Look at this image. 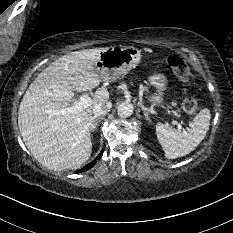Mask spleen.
<instances>
[{
    "label": "spleen",
    "instance_id": "spleen-1",
    "mask_svg": "<svg viewBox=\"0 0 233 233\" xmlns=\"http://www.w3.org/2000/svg\"><path fill=\"white\" fill-rule=\"evenodd\" d=\"M210 119V110L204 108L194 117V122L188 131H177L171 126L158 123L156 135L163 147L165 157L175 159L193 151L205 138Z\"/></svg>",
    "mask_w": 233,
    "mask_h": 233
}]
</instances>
